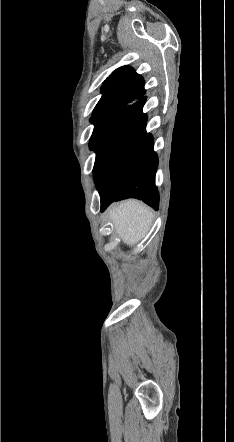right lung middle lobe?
<instances>
[{"instance_id":"right-lung-middle-lobe-1","label":"right lung middle lobe","mask_w":234,"mask_h":442,"mask_svg":"<svg viewBox=\"0 0 234 442\" xmlns=\"http://www.w3.org/2000/svg\"><path fill=\"white\" fill-rule=\"evenodd\" d=\"M116 116V114H109L91 117L90 121L94 124V130L89 143L91 150L95 149L106 130L115 120Z\"/></svg>"}]
</instances>
